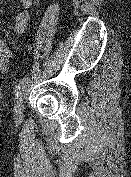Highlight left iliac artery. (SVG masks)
Instances as JSON below:
<instances>
[{
    "label": "left iliac artery",
    "mask_w": 131,
    "mask_h": 177,
    "mask_svg": "<svg viewBox=\"0 0 131 177\" xmlns=\"http://www.w3.org/2000/svg\"><path fill=\"white\" fill-rule=\"evenodd\" d=\"M28 81H29V77H28V76L23 77V78L19 81L17 88H18L19 90H20V89H23V87L28 83Z\"/></svg>",
    "instance_id": "obj_1"
}]
</instances>
